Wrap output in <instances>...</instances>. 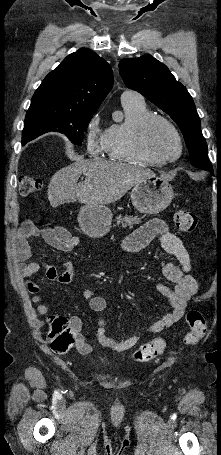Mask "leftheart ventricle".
<instances>
[{
  "label": "left heart ventricle",
  "instance_id": "obj_1",
  "mask_svg": "<svg viewBox=\"0 0 221 455\" xmlns=\"http://www.w3.org/2000/svg\"><path fill=\"white\" fill-rule=\"evenodd\" d=\"M151 148L161 157L172 158L178 153V142L171 129L162 122H156L149 133Z\"/></svg>",
  "mask_w": 221,
  "mask_h": 455
}]
</instances>
